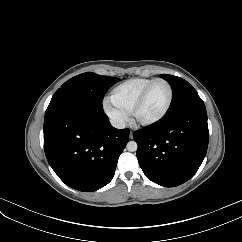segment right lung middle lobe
<instances>
[{"label": "right lung middle lobe", "mask_w": 242, "mask_h": 242, "mask_svg": "<svg viewBox=\"0 0 242 242\" xmlns=\"http://www.w3.org/2000/svg\"><path fill=\"white\" fill-rule=\"evenodd\" d=\"M119 80V78L100 76L93 72L77 75L55 92L45 115L67 107H88L103 111L104 94Z\"/></svg>", "instance_id": "right-lung-middle-lobe-1"}]
</instances>
